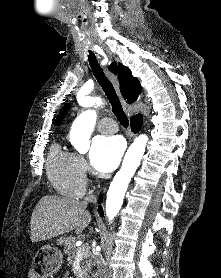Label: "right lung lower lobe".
Returning <instances> with one entry per match:
<instances>
[{"mask_svg": "<svg viewBox=\"0 0 221 278\" xmlns=\"http://www.w3.org/2000/svg\"><path fill=\"white\" fill-rule=\"evenodd\" d=\"M142 125V116L141 115H135L131 118V129L133 132H138ZM102 200V197H100V201ZM98 212L101 216H103V211L101 206H99Z\"/></svg>", "mask_w": 221, "mask_h": 278, "instance_id": "right-lung-lower-lobe-1", "label": "right lung lower lobe"}]
</instances>
